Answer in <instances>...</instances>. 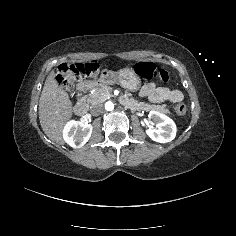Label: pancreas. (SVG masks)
Returning a JSON list of instances; mask_svg holds the SVG:
<instances>
[{"label":"pancreas","instance_id":"pancreas-1","mask_svg":"<svg viewBox=\"0 0 236 236\" xmlns=\"http://www.w3.org/2000/svg\"><path fill=\"white\" fill-rule=\"evenodd\" d=\"M112 88L108 85L97 86L85 96L82 101L86 102L88 105H93L97 103H102L111 97ZM118 101L125 107L131 110H156L162 114H170V111L166 108V105H149L145 102H141L132 97V94L124 92L118 99Z\"/></svg>","mask_w":236,"mask_h":236}]
</instances>
